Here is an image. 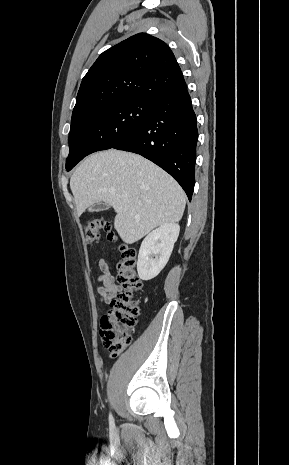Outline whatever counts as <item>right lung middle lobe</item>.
Instances as JSON below:
<instances>
[{"label": "right lung middle lobe", "instance_id": "right-lung-middle-lobe-1", "mask_svg": "<svg viewBox=\"0 0 289 465\" xmlns=\"http://www.w3.org/2000/svg\"><path fill=\"white\" fill-rule=\"evenodd\" d=\"M153 101L127 100L96 108L72 126L67 171L90 153L110 149L142 125L152 114Z\"/></svg>", "mask_w": 289, "mask_h": 465}]
</instances>
